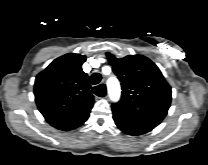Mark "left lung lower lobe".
Returning <instances> with one entry per match:
<instances>
[{
    "label": "left lung lower lobe",
    "mask_w": 208,
    "mask_h": 165,
    "mask_svg": "<svg viewBox=\"0 0 208 165\" xmlns=\"http://www.w3.org/2000/svg\"><path fill=\"white\" fill-rule=\"evenodd\" d=\"M113 119L120 130L132 136L145 134L156 127L153 125L126 119L115 113H113Z\"/></svg>",
    "instance_id": "obj_1"
}]
</instances>
